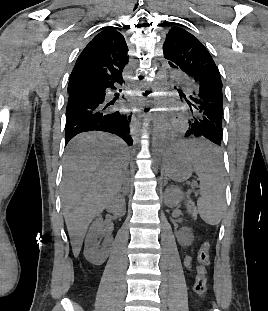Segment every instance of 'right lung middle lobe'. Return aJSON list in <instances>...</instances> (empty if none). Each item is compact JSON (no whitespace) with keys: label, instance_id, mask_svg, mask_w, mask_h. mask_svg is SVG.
Wrapping results in <instances>:
<instances>
[{"label":"right lung middle lobe","instance_id":"dd1d6c3e","mask_svg":"<svg viewBox=\"0 0 268 311\" xmlns=\"http://www.w3.org/2000/svg\"><path fill=\"white\" fill-rule=\"evenodd\" d=\"M90 85L91 84H79V85H77L78 87H83V88H90ZM70 89V88H69ZM68 89V90H69Z\"/></svg>","mask_w":268,"mask_h":311}]
</instances>
